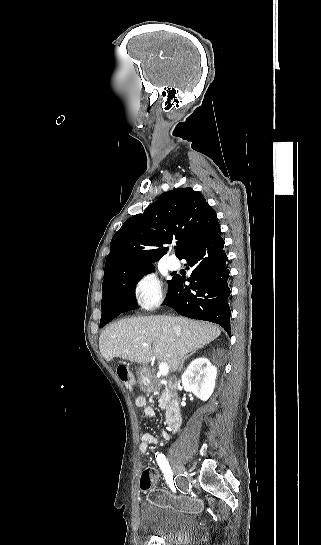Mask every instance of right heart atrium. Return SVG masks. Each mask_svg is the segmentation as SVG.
<instances>
[{
	"instance_id": "1",
	"label": "right heart atrium",
	"mask_w": 321,
	"mask_h": 545,
	"mask_svg": "<svg viewBox=\"0 0 321 545\" xmlns=\"http://www.w3.org/2000/svg\"><path fill=\"white\" fill-rule=\"evenodd\" d=\"M130 295L135 306L143 311L158 309L165 298L162 283L152 273L137 276L131 284Z\"/></svg>"
}]
</instances>
